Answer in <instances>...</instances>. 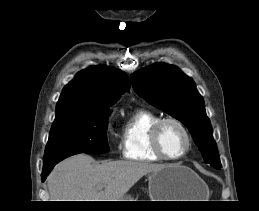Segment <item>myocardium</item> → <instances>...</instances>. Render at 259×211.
I'll use <instances>...</instances> for the list:
<instances>
[{"mask_svg":"<svg viewBox=\"0 0 259 211\" xmlns=\"http://www.w3.org/2000/svg\"><path fill=\"white\" fill-rule=\"evenodd\" d=\"M168 123H173L176 124L184 133L186 140H187V146L185 150L179 154L178 156H169L165 153L162 143H161V132L163 127L168 124ZM151 144L154 152L161 158L167 161H178L183 159L188 155V153L191 151L192 146H193V138L192 135L187 128V126L179 119L174 118V117H166V118H161L153 127L152 132H151Z\"/></svg>","mask_w":259,"mask_h":211,"instance_id":"myocardium-1","label":"myocardium"}]
</instances>
